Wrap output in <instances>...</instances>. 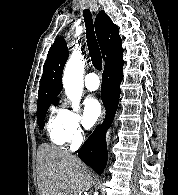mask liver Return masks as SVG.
Here are the masks:
<instances>
[{
  "mask_svg": "<svg viewBox=\"0 0 178 195\" xmlns=\"http://www.w3.org/2000/svg\"><path fill=\"white\" fill-rule=\"evenodd\" d=\"M37 159L40 195H79L91 189L90 170L69 152L42 144Z\"/></svg>",
  "mask_w": 178,
  "mask_h": 195,
  "instance_id": "liver-1",
  "label": "liver"
}]
</instances>
